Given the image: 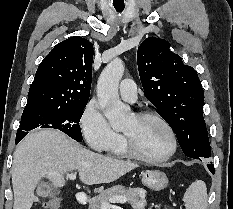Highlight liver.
Masks as SVG:
<instances>
[{
    "label": "liver",
    "mask_w": 233,
    "mask_h": 209,
    "mask_svg": "<svg viewBox=\"0 0 233 209\" xmlns=\"http://www.w3.org/2000/svg\"><path fill=\"white\" fill-rule=\"evenodd\" d=\"M137 167V164L87 150L57 130L32 132L14 152L13 209H31L38 201L34 190L42 178H47L55 187H62L63 175L77 170L81 182L95 185L113 182Z\"/></svg>",
    "instance_id": "obj_1"
}]
</instances>
